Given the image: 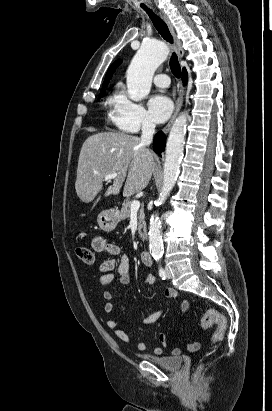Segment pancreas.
<instances>
[{
    "label": "pancreas",
    "instance_id": "cf45deb5",
    "mask_svg": "<svg viewBox=\"0 0 272 411\" xmlns=\"http://www.w3.org/2000/svg\"><path fill=\"white\" fill-rule=\"evenodd\" d=\"M131 214V202H127L122 206L119 218L120 220H125L130 217ZM138 233L140 237H144V233L142 232V229L145 227V215H144V210L141 208L138 212Z\"/></svg>",
    "mask_w": 272,
    "mask_h": 411
}]
</instances>
